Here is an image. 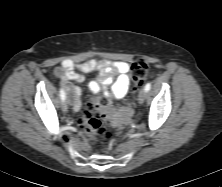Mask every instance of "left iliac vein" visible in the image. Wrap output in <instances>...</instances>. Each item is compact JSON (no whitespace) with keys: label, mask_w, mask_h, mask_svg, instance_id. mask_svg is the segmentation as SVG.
<instances>
[{"label":"left iliac vein","mask_w":222,"mask_h":187,"mask_svg":"<svg viewBox=\"0 0 222 187\" xmlns=\"http://www.w3.org/2000/svg\"><path fill=\"white\" fill-rule=\"evenodd\" d=\"M146 97H147V91L141 90L138 96L139 103L142 104L145 101Z\"/></svg>","instance_id":"left-iliac-vein-1"}]
</instances>
